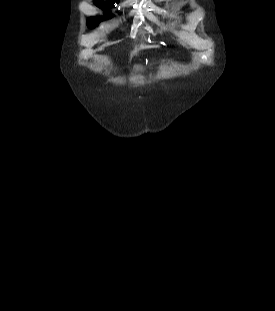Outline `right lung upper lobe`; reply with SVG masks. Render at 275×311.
Returning <instances> with one entry per match:
<instances>
[{
	"mask_svg": "<svg viewBox=\"0 0 275 311\" xmlns=\"http://www.w3.org/2000/svg\"><path fill=\"white\" fill-rule=\"evenodd\" d=\"M115 2H118V0H108V5L113 6ZM95 3L97 6H105V2H102L101 0H95Z\"/></svg>",
	"mask_w": 275,
	"mask_h": 311,
	"instance_id": "right-lung-upper-lobe-1",
	"label": "right lung upper lobe"
}]
</instances>
